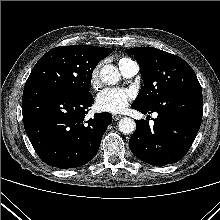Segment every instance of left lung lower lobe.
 <instances>
[{"label": "left lung lower lobe", "mask_w": 220, "mask_h": 220, "mask_svg": "<svg viewBox=\"0 0 220 220\" xmlns=\"http://www.w3.org/2000/svg\"><path fill=\"white\" fill-rule=\"evenodd\" d=\"M132 107L144 114L157 112L153 127L147 120L136 121L129 140L132 153L140 160L164 166L178 162L191 147L202 121V91L189 90L163 100L153 108Z\"/></svg>", "instance_id": "obj_1"}]
</instances>
